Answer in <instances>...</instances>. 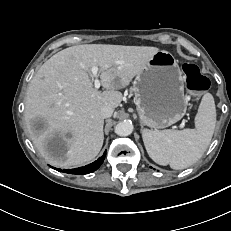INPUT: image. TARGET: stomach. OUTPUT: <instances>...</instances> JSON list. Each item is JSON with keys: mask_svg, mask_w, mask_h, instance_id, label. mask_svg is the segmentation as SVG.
<instances>
[{"mask_svg": "<svg viewBox=\"0 0 231 231\" xmlns=\"http://www.w3.org/2000/svg\"><path fill=\"white\" fill-rule=\"evenodd\" d=\"M140 122L161 129L179 121L186 113L184 79L178 61L159 50L136 75L131 88Z\"/></svg>", "mask_w": 231, "mask_h": 231, "instance_id": "obj_1", "label": "stomach"}]
</instances>
